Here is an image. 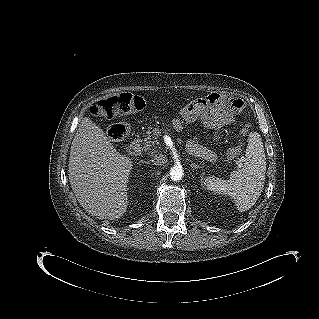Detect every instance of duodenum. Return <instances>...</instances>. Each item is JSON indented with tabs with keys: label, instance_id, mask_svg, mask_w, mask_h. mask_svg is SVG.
<instances>
[{
	"label": "duodenum",
	"instance_id": "obj_1",
	"mask_svg": "<svg viewBox=\"0 0 319 319\" xmlns=\"http://www.w3.org/2000/svg\"><path fill=\"white\" fill-rule=\"evenodd\" d=\"M140 150H141V145L138 140H134L133 142H131L128 148V152L132 156H137L140 153Z\"/></svg>",
	"mask_w": 319,
	"mask_h": 319
}]
</instances>
